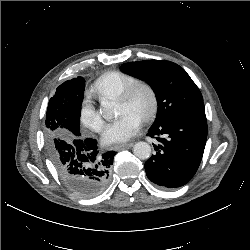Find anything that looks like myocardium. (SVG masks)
I'll list each match as a JSON object with an SVG mask.
<instances>
[{
  "instance_id": "f54148a6",
  "label": "myocardium",
  "mask_w": 250,
  "mask_h": 250,
  "mask_svg": "<svg viewBox=\"0 0 250 250\" xmlns=\"http://www.w3.org/2000/svg\"><path fill=\"white\" fill-rule=\"evenodd\" d=\"M145 91L149 97V107L141 116L142 121H148L154 117L158 109V96L154 86L145 80H136L129 85L116 98L118 101L128 103L130 102L138 91Z\"/></svg>"
}]
</instances>
